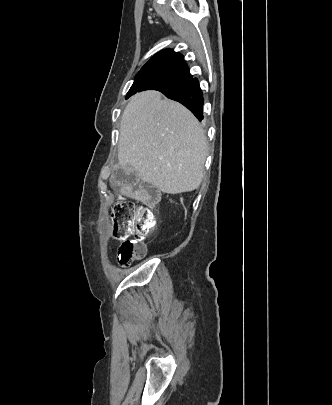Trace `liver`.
<instances>
[{
	"instance_id": "6515ba94",
	"label": "liver",
	"mask_w": 332,
	"mask_h": 405,
	"mask_svg": "<svg viewBox=\"0 0 332 405\" xmlns=\"http://www.w3.org/2000/svg\"><path fill=\"white\" fill-rule=\"evenodd\" d=\"M207 143L194 115L158 91L131 97L123 111L119 166L164 193L190 192L203 179Z\"/></svg>"
}]
</instances>
